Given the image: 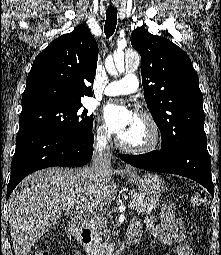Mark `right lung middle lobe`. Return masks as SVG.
<instances>
[{
	"mask_svg": "<svg viewBox=\"0 0 221 255\" xmlns=\"http://www.w3.org/2000/svg\"><path fill=\"white\" fill-rule=\"evenodd\" d=\"M81 102L44 104L23 109L20 127L41 128L70 137H86L92 133L93 115Z\"/></svg>",
	"mask_w": 221,
	"mask_h": 255,
	"instance_id": "obj_1",
	"label": "right lung middle lobe"
}]
</instances>
